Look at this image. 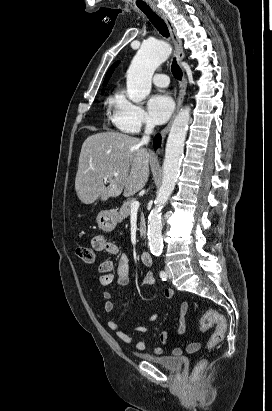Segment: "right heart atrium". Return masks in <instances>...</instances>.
<instances>
[{
  "mask_svg": "<svg viewBox=\"0 0 272 411\" xmlns=\"http://www.w3.org/2000/svg\"><path fill=\"white\" fill-rule=\"evenodd\" d=\"M110 105V120L120 131L134 134L151 127L145 110L129 100L123 91L117 92Z\"/></svg>",
  "mask_w": 272,
  "mask_h": 411,
  "instance_id": "right-heart-atrium-1",
  "label": "right heart atrium"
}]
</instances>
